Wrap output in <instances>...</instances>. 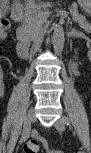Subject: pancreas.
Wrapping results in <instances>:
<instances>
[{
	"mask_svg": "<svg viewBox=\"0 0 91 153\" xmlns=\"http://www.w3.org/2000/svg\"><path fill=\"white\" fill-rule=\"evenodd\" d=\"M71 13L73 15L74 21L78 22L79 25L82 26L86 32H89L90 23L86 21L85 17L82 15H78V11L76 9H72ZM41 16L42 13L40 11H36L26 18L22 30L25 32L27 39L31 40L34 32L39 28L41 24Z\"/></svg>",
	"mask_w": 91,
	"mask_h": 153,
	"instance_id": "obj_1",
	"label": "pancreas"
}]
</instances>
